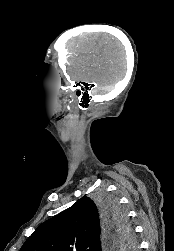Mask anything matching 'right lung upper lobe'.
<instances>
[{
	"mask_svg": "<svg viewBox=\"0 0 174 251\" xmlns=\"http://www.w3.org/2000/svg\"><path fill=\"white\" fill-rule=\"evenodd\" d=\"M104 218L93 200L82 197L39 225L20 251H102ZM120 245V243L118 244Z\"/></svg>",
	"mask_w": 174,
	"mask_h": 251,
	"instance_id": "1",
	"label": "right lung upper lobe"
}]
</instances>
